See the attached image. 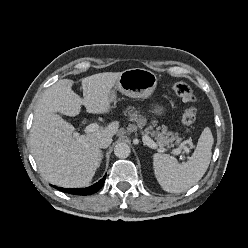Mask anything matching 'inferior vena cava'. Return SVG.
<instances>
[{
	"mask_svg": "<svg viewBox=\"0 0 248 248\" xmlns=\"http://www.w3.org/2000/svg\"><path fill=\"white\" fill-rule=\"evenodd\" d=\"M112 143V137L102 136L96 140V145L99 148H107Z\"/></svg>",
	"mask_w": 248,
	"mask_h": 248,
	"instance_id": "1",
	"label": "inferior vena cava"
}]
</instances>
